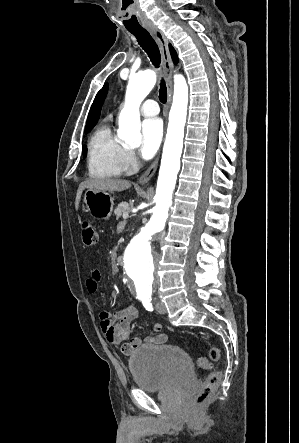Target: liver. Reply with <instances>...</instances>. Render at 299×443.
I'll list each match as a JSON object with an SVG mask.
<instances>
[{"instance_id": "liver-1", "label": "liver", "mask_w": 299, "mask_h": 443, "mask_svg": "<svg viewBox=\"0 0 299 443\" xmlns=\"http://www.w3.org/2000/svg\"><path fill=\"white\" fill-rule=\"evenodd\" d=\"M131 187V183L127 180L112 179V178H99L90 179L82 182L77 190L75 199V209L78 210L81 195L85 189H92L96 191L104 192H121Z\"/></svg>"}]
</instances>
